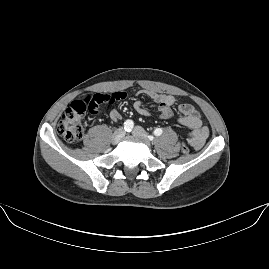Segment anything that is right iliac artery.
<instances>
[{"instance_id":"right-iliac-artery-1","label":"right iliac artery","mask_w":269,"mask_h":269,"mask_svg":"<svg viewBox=\"0 0 269 269\" xmlns=\"http://www.w3.org/2000/svg\"><path fill=\"white\" fill-rule=\"evenodd\" d=\"M133 126H134V123H133L132 120H126V121L124 122V129H125V131H127V132H130V131L132 130Z\"/></svg>"}]
</instances>
